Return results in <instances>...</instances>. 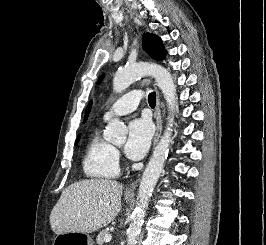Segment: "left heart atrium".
Listing matches in <instances>:
<instances>
[{
	"label": "left heart atrium",
	"mask_w": 266,
	"mask_h": 245,
	"mask_svg": "<svg viewBox=\"0 0 266 245\" xmlns=\"http://www.w3.org/2000/svg\"><path fill=\"white\" fill-rule=\"evenodd\" d=\"M152 134V124L148 119L140 118L131 121L124 145L125 155L131 160L141 159L149 147Z\"/></svg>",
	"instance_id": "obj_1"
}]
</instances>
